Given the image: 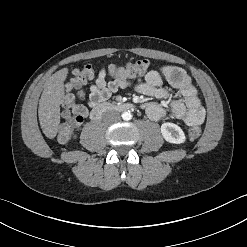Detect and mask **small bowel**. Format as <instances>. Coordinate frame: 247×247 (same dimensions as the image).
<instances>
[{
  "mask_svg": "<svg viewBox=\"0 0 247 247\" xmlns=\"http://www.w3.org/2000/svg\"><path fill=\"white\" fill-rule=\"evenodd\" d=\"M107 76L108 71L102 69L96 80L90 84L87 96L90 107L105 102L120 89L131 88L157 100L142 106L146 115L152 120L157 121L168 116L179 119L188 126L200 125L204 122L205 110L196 87L188 74L180 67L164 66L160 70H151L136 80L113 78L108 81ZM164 81L178 90L177 96L163 87ZM72 87V82L68 81L62 107L66 111H71L73 116H81L84 119L88 110L85 106L75 103V96L71 93Z\"/></svg>",
  "mask_w": 247,
  "mask_h": 247,
  "instance_id": "small-bowel-1",
  "label": "small bowel"
}]
</instances>
